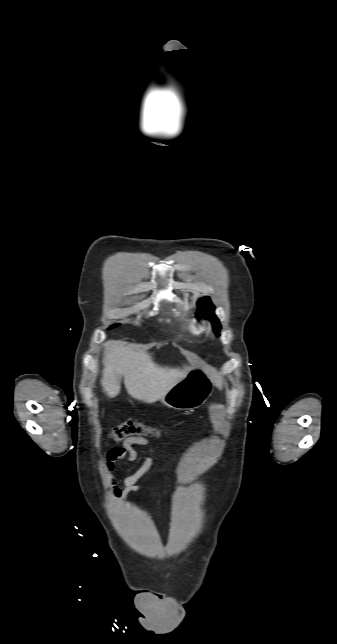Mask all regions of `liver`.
Here are the masks:
<instances>
[{
  "instance_id": "liver-1",
  "label": "liver",
  "mask_w": 337,
  "mask_h": 644,
  "mask_svg": "<svg viewBox=\"0 0 337 644\" xmlns=\"http://www.w3.org/2000/svg\"><path fill=\"white\" fill-rule=\"evenodd\" d=\"M105 348L104 369L101 385L113 398L120 392V380L128 394L140 401L152 403L160 400L178 382L186 377L191 366L182 368L162 367L156 364L148 352L137 350L132 344L109 340Z\"/></svg>"
}]
</instances>
